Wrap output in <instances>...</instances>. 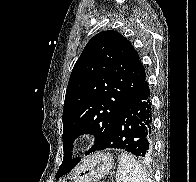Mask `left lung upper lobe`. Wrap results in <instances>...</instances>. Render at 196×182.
<instances>
[{
	"label": "left lung upper lobe",
	"mask_w": 196,
	"mask_h": 182,
	"mask_svg": "<svg viewBox=\"0 0 196 182\" xmlns=\"http://www.w3.org/2000/svg\"><path fill=\"white\" fill-rule=\"evenodd\" d=\"M145 79V68L138 52L123 35L113 30L102 31L87 43L74 65L66 90L64 158L56 179L70 172L80 159L65 161L74 140L84 133L94 134L95 144L87 152L99 147L121 109Z\"/></svg>",
	"instance_id": "left-lung-upper-lobe-1"
}]
</instances>
